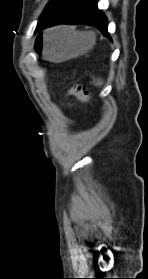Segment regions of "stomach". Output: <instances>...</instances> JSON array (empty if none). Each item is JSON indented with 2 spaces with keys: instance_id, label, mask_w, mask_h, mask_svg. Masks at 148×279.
Listing matches in <instances>:
<instances>
[{
  "instance_id": "1",
  "label": "stomach",
  "mask_w": 148,
  "mask_h": 279,
  "mask_svg": "<svg viewBox=\"0 0 148 279\" xmlns=\"http://www.w3.org/2000/svg\"><path fill=\"white\" fill-rule=\"evenodd\" d=\"M52 33L47 38L42 35L45 38L43 44H34V49H44L35 50V55H41L45 63H56L84 54L95 44V36L92 34L83 35L65 28H58Z\"/></svg>"
}]
</instances>
